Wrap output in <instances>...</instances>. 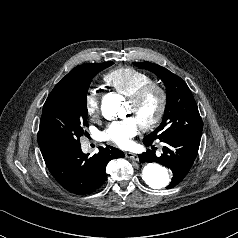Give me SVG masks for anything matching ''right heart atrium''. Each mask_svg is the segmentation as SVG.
Instances as JSON below:
<instances>
[{
    "label": "right heart atrium",
    "mask_w": 238,
    "mask_h": 238,
    "mask_svg": "<svg viewBox=\"0 0 238 238\" xmlns=\"http://www.w3.org/2000/svg\"><path fill=\"white\" fill-rule=\"evenodd\" d=\"M86 113L93 119L97 118L100 111V97L97 91L90 90L84 98Z\"/></svg>",
    "instance_id": "1"
}]
</instances>
